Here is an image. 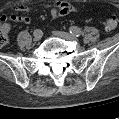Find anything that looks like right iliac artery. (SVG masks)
Here are the masks:
<instances>
[{
  "label": "right iliac artery",
  "mask_w": 119,
  "mask_h": 119,
  "mask_svg": "<svg viewBox=\"0 0 119 119\" xmlns=\"http://www.w3.org/2000/svg\"><path fill=\"white\" fill-rule=\"evenodd\" d=\"M33 35L34 36H39L40 35V30L39 29H34L33 30Z\"/></svg>",
  "instance_id": "obj_1"
}]
</instances>
